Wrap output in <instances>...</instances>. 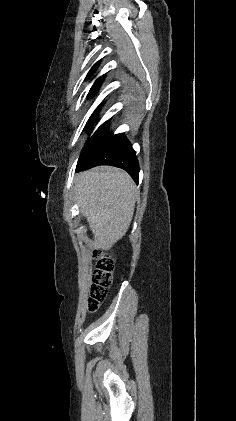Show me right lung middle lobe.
<instances>
[{
    "label": "right lung middle lobe",
    "instance_id": "1",
    "mask_svg": "<svg viewBox=\"0 0 236 421\" xmlns=\"http://www.w3.org/2000/svg\"><path fill=\"white\" fill-rule=\"evenodd\" d=\"M96 92V90H91L90 91V93L88 94V97H92L93 96V94ZM102 105V104H101ZM100 105V106H101ZM100 106L94 111V113L91 115V117L89 118V120H88V122H87V125H90V124H92V122L94 121V120H96L97 119V116H98V110H99V108H100Z\"/></svg>",
    "mask_w": 236,
    "mask_h": 421
}]
</instances>
